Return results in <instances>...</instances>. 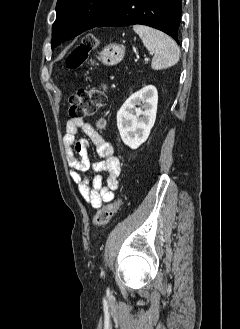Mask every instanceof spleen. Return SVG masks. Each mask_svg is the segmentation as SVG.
Here are the masks:
<instances>
[{"label": "spleen", "mask_w": 240, "mask_h": 329, "mask_svg": "<svg viewBox=\"0 0 240 329\" xmlns=\"http://www.w3.org/2000/svg\"><path fill=\"white\" fill-rule=\"evenodd\" d=\"M133 30L140 36L146 49L154 53L152 69H166L179 61L180 49L171 37L144 25H134Z\"/></svg>", "instance_id": "spleen-1"}]
</instances>
